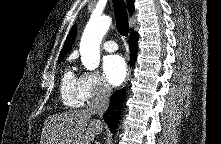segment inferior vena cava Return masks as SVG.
<instances>
[{
  "label": "inferior vena cava",
  "instance_id": "1",
  "mask_svg": "<svg viewBox=\"0 0 221 144\" xmlns=\"http://www.w3.org/2000/svg\"><path fill=\"white\" fill-rule=\"evenodd\" d=\"M111 87L108 84H102L87 107V111L91 114H98L103 116L104 112L109 106V99L111 95Z\"/></svg>",
  "mask_w": 221,
  "mask_h": 144
}]
</instances>
